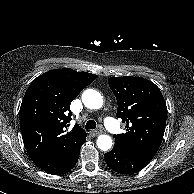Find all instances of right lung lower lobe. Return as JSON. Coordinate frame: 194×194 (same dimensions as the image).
Listing matches in <instances>:
<instances>
[{
    "instance_id": "98d812e1",
    "label": "right lung lower lobe",
    "mask_w": 194,
    "mask_h": 194,
    "mask_svg": "<svg viewBox=\"0 0 194 194\" xmlns=\"http://www.w3.org/2000/svg\"><path fill=\"white\" fill-rule=\"evenodd\" d=\"M79 151H77V153L63 166H61L60 168L56 169L54 172L49 173V174H53V175H59V174H64L68 171H70L76 164L78 157H79Z\"/></svg>"
}]
</instances>
